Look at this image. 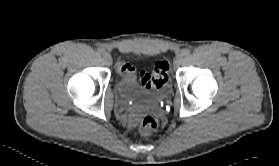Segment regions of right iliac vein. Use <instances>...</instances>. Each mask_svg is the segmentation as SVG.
<instances>
[{
    "instance_id": "right-iliac-vein-1",
    "label": "right iliac vein",
    "mask_w": 279,
    "mask_h": 166,
    "mask_svg": "<svg viewBox=\"0 0 279 166\" xmlns=\"http://www.w3.org/2000/svg\"><path fill=\"white\" fill-rule=\"evenodd\" d=\"M103 58H104L105 63H106L108 66L112 65L113 60H112V57H111V55H110L109 53H104V54H103Z\"/></svg>"
}]
</instances>
